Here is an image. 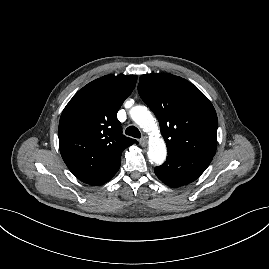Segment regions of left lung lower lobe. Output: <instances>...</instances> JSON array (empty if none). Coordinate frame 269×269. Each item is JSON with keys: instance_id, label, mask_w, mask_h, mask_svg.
I'll list each match as a JSON object with an SVG mask.
<instances>
[{"instance_id": "left-lung-lower-lobe-1", "label": "left lung lower lobe", "mask_w": 269, "mask_h": 269, "mask_svg": "<svg viewBox=\"0 0 269 269\" xmlns=\"http://www.w3.org/2000/svg\"><path fill=\"white\" fill-rule=\"evenodd\" d=\"M213 157L180 150H168L166 162L155 167L156 176L166 185L178 187L196 180Z\"/></svg>"}]
</instances>
